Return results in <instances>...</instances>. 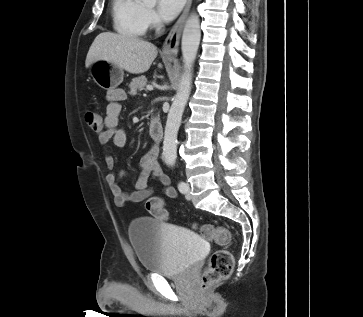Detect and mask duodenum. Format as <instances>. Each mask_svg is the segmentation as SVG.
<instances>
[{
    "label": "duodenum",
    "mask_w": 363,
    "mask_h": 317,
    "mask_svg": "<svg viewBox=\"0 0 363 317\" xmlns=\"http://www.w3.org/2000/svg\"><path fill=\"white\" fill-rule=\"evenodd\" d=\"M150 136L153 139L155 145H160L163 140L164 131L163 124L156 116L152 117L149 123Z\"/></svg>",
    "instance_id": "1"
}]
</instances>
